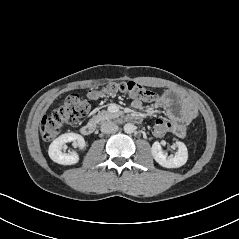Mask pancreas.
<instances>
[{"instance_id":"obj_1","label":"pancreas","mask_w":239,"mask_h":239,"mask_svg":"<svg viewBox=\"0 0 239 239\" xmlns=\"http://www.w3.org/2000/svg\"><path fill=\"white\" fill-rule=\"evenodd\" d=\"M115 115L106 111V110H102V111H99L98 114L94 117V120L96 122H103L105 120H109V119H112L114 118Z\"/></svg>"}]
</instances>
